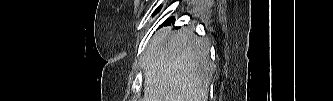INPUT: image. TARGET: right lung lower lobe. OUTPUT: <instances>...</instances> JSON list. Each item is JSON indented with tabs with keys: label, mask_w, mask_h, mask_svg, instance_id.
I'll use <instances>...</instances> for the list:
<instances>
[{
	"label": "right lung lower lobe",
	"mask_w": 333,
	"mask_h": 101,
	"mask_svg": "<svg viewBox=\"0 0 333 101\" xmlns=\"http://www.w3.org/2000/svg\"><path fill=\"white\" fill-rule=\"evenodd\" d=\"M158 11H159V8L154 12V14H156ZM171 22L174 23V18L173 17H171L170 19H168L167 21H165L164 24H162V26L163 25H168Z\"/></svg>",
	"instance_id": "98d812e1"
}]
</instances>
